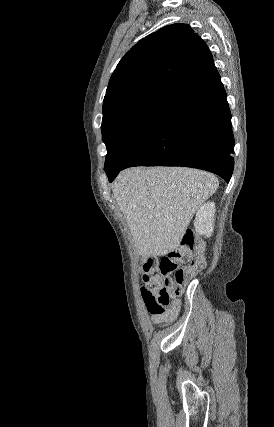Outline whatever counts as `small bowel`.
Instances as JSON below:
<instances>
[{
    "label": "small bowel",
    "instance_id": "small-bowel-1",
    "mask_svg": "<svg viewBox=\"0 0 274 427\" xmlns=\"http://www.w3.org/2000/svg\"><path fill=\"white\" fill-rule=\"evenodd\" d=\"M180 309L179 301L173 302L170 308L166 309L163 313L152 314V321L156 324H163L172 321L178 314Z\"/></svg>",
    "mask_w": 274,
    "mask_h": 427
}]
</instances>
